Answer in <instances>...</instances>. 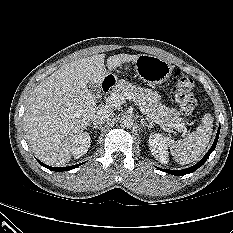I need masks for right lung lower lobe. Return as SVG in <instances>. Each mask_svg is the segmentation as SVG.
Returning <instances> with one entry per match:
<instances>
[{
	"instance_id": "98d812e1",
	"label": "right lung lower lobe",
	"mask_w": 233,
	"mask_h": 233,
	"mask_svg": "<svg viewBox=\"0 0 233 233\" xmlns=\"http://www.w3.org/2000/svg\"><path fill=\"white\" fill-rule=\"evenodd\" d=\"M38 162H39L42 166H44V167H46L47 169L52 170V171H68V170L77 168V167H79L81 164H83V163H80V164L73 165V166H69V167H50V166H48V165L43 164V163L40 162L39 160H38Z\"/></svg>"
}]
</instances>
